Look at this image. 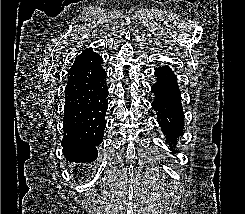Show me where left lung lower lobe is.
<instances>
[{
	"label": "left lung lower lobe",
	"mask_w": 245,
	"mask_h": 214,
	"mask_svg": "<svg viewBox=\"0 0 245 214\" xmlns=\"http://www.w3.org/2000/svg\"><path fill=\"white\" fill-rule=\"evenodd\" d=\"M157 82L151 87L155 95L152 107L157 112V120L162 132L166 135L170 147H175L177 138L182 136L184 113L177 77L168 66L155 70Z\"/></svg>",
	"instance_id": "1"
}]
</instances>
